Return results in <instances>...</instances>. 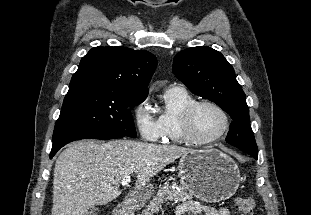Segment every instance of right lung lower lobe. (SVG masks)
I'll return each mask as SVG.
<instances>
[{"label": "right lung lower lobe", "instance_id": "98d812e1", "mask_svg": "<svg viewBox=\"0 0 311 215\" xmlns=\"http://www.w3.org/2000/svg\"><path fill=\"white\" fill-rule=\"evenodd\" d=\"M119 137H124V135L109 134V135H94V136H76V137L60 140V141H57V142L53 143L52 150L50 152V158H52L61 147H63L67 143L75 141V140L87 139V138L115 139V138H119Z\"/></svg>", "mask_w": 311, "mask_h": 215}]
</instances>
